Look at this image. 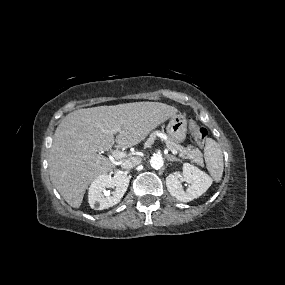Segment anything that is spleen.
Here are the masks:
<instances>
[{
	"instance_id": "1",
	"label": "spleen",
	"mask_w": 285,
	"mask_h": 285,
	"mask_svg": "<svg viewBox=\"0 0 285 285\" xmlns=\"http://www.w3.org/2000/svg\"><path fill=\"white\" fill-rule=\"evenodd\" d=\"M206 167L212 179L219 182L223 174V154L218 143L213 139H208L204 150Z\"/></svg>"
}]
</instances>
